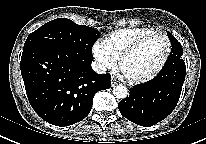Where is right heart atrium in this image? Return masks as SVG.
<instances>
[{"label": "right heart atrium", "mask_w": 206, "mask_h": 144, "mask_svg": "<svg viewBox=\"0 0 206 144\" xmlns=\"http://www.w3.org/2000/svg\"><path fill=\"white\" fill-rule=\"evenodd\" d=\"M92 54L98 67L105 71L117 65V58L111 53L103 40H97L92 46Z\"/></svg>", "instance_id": "1"}]
</instances>
